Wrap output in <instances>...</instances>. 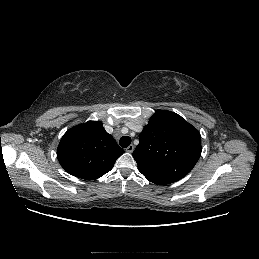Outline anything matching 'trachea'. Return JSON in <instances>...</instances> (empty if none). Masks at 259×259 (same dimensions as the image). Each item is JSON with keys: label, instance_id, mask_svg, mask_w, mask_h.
I'll list each match as a JSON object with an SVG mask.
<instances>
[{"label": "trachea", "instance_id": "1", "mask_svg": "<svg viewBox=\"0 0 259 259\" xmlns=\"http://www.w3.org/2000/svg\"><path fill=\"white\" fill-rule=\"evenodd\" d=\"M119 144L123 148H127L131 144V138L129 136L121 137Z\"/></svg>", "mask_w": 259, "mask_h": 259}]
</instances>
